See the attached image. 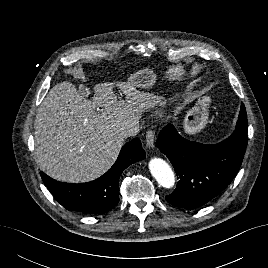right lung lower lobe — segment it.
I'll return each instance as SVG.
<instances>
[{
    "instance_id": "right-lung-lower-lobe-1",
    "label": "right lung lower lobe",
    "mask_w": 268,
    "mask_h": 268,
    "mask_svg": "<svg viewBox=\"0 0 268 268\" xmlns=\"http://www.w3.org/2000/svg\"><path fill=\"white\" fill-rule=\"evenodd\" d=\"M146 154L138 138L121 149L114 165L98 179L80 184L56 181L45 173L40 175L58 203L69 211L104 214L119 202V177L129 165L143 160Z\"/></svg>"
}]
</instances>
